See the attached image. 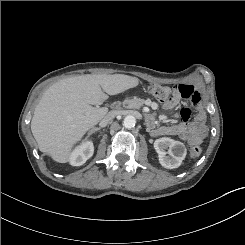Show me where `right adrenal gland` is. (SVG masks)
Returning <instances> with one entry per match:
<instances>
[{
  "label": "right adrenal gland",
  "mask_w": 245,
  "mask_h": 245,
  "mask_svg": "<svg viewBox=\"0 0 245 245\" xmlns=\"http://www.w3.org/2000/svg\"><path fill=\"white\" fill-rule=\"evenodd\" d=\"M100 130H101V128H98V127L92 128V129L88 132V136H90V135L93 134L94 132L100 131Z\"/></svg>",
  "instance_id": "2a0ac1e0"
}]
</instances>
